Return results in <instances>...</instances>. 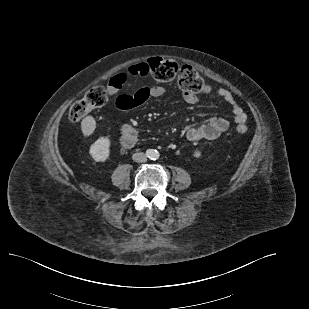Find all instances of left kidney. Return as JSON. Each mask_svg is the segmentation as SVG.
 Returning <instances> with one entry per match:
<instances>
[{
  "instance_id": "left-kidney-1",
  "label": "left kidney",
  "mask_w": 309,
  "mask_h": 309,
  "mask_svg": "<svg viewBox=\"0 0 309 309\" xmlns=\"http://www.w3.org/2000/svg\"><path fill=\"white\" fill-rule=\"evenodd\" d=\"M193 156H194L195 158H200V157H201V152H200V151H195V152L193 153Z\"/></svg>"
}]
</instances>
